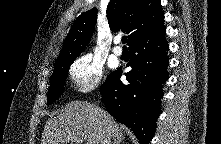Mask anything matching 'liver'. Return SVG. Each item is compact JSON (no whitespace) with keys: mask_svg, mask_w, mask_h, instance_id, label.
<instances>
[{"mask_svg":"<svg viewBox=\"0 0 221 144\" xmlns=\"http://www.w3.org/2000/svg\"><path fill=\"white\" fill-rule=\"evenodd\" d=\"M123 129L104 109L85 101H72L63 113L46 122L42 144H67L73 137L85 144H102L106 134L110 144H121Z\"/></svg>","mask_w":221,"mask_h":144,"instance_id":"obj_1","label":"liver"}]
</instances>
